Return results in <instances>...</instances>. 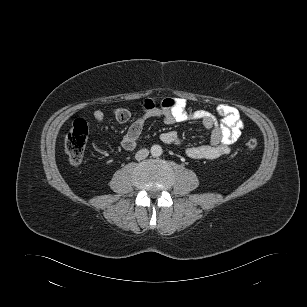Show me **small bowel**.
I'll return each mask as SVG.
<instances>
[{"mask_svg":"<svg viewBox=\"0 0 307 307\" xmlns=\"http://www.w3.org/2000/svg\"><path fill=\"white\" fill-rule=\"evenodd\" d=\"M143 110L141 117L131 123L125 133L121 145L126 151L136 148L138 139L142 133L145 122L151 118H159L166 124H174L188 120H198L210 131L209 144L190 146L185 153L192 159L213 160L230 153V146L238 140L243 128V122L238 110L228 104H221L217 108L221 119L209 111L195 109L189 106L182 98H166L157 106L150 98H144L140 102ZM130 111L125 107L114 110V118L119 123H125L130 119ZM96 122L104 121V113L96 110L93 113ZM161 141L167 145H180L181 140L177 132L167 131L161 134Z\"/></svg>","mask_w":307,"mask_h":307,"instance_id":"obj_1","label":"small bowel"}]
</instances>
